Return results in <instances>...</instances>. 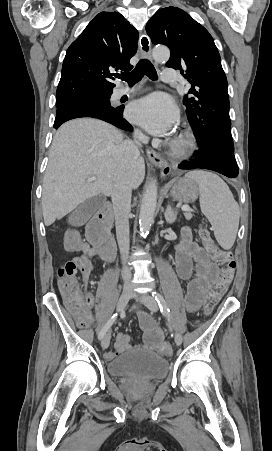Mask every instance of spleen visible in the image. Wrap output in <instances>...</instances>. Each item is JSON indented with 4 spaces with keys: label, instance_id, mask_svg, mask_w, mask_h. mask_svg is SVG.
<instances>
[{
    "label": "spleen",
    "instance_id": "obj_1",
    "mask_svg": "<svg viewBox=\"0 0 272 451\" xmlns=\"http://www.w3.org/2000/svg\"><path fill=\"white\" fill-rule=\"evenodd\" d=\"M185 178L197 182L202 214L213 227L219 245L231 249L238 231L240 210L227 184L217 174L203 170L188 172Z\"/></svg>",
    "mask_w": 272,
    "mask_h": 451
}]
</instances>
